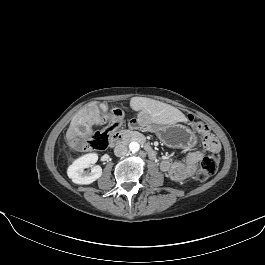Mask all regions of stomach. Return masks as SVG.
<instances>
[{
    "instance_id": "0dacf381",
    "label": "stomach",
    "mask_w": 265,
    "mask_h": 265,
    "mask_svg": "<svg viewBox=\"0 0 265 265\" xmlns=\"http://www.w3.org/2000/svg\"><path fill=\"white\" fill-rule=\"evenodd\" d=\"M141 128L155 133L167 146L174 148H188L196 144V135L188 127L181 124H155L139 119Z\"/></svg>"
}]
</instances>
